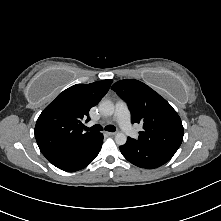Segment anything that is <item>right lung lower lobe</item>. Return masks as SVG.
Segmentation results:
<instances>
[{
    "mask_svg": "<svg viewBox=\"0 0 221 221\" xmlns=\"http://www.w3.org/2000/svg\"><path fill=\"white\" fill-rule=\"evenodd\" d=\"M102 143L103 135L97 133L94 138L74 149L68 158L63 163L56 165V167L67 172H75L83 169L96 158L102 147Z\"/></svg>",
    "mask_w": 221,
    "mask_h": 221,
    "instance_id": "98d812e1",
    "label": "right lung lower lobe"
}]
</instances>
